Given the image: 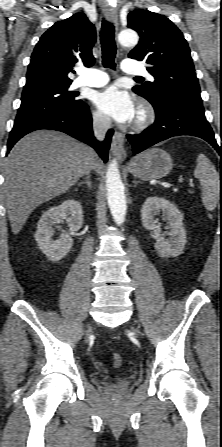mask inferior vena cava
<instances>
[{
  "instance_id": "1",
  "label": "inferior vena cava",
  "mask_w": 222,
  "mask_h": 447,
  "mask_svg": "<svg viewBox=\"0 0 222 447\" xmlns=\"http://www.w3.org/2000/svg\"><path fill=\"white\" fill-rule=\"evenodd\" d=\"M111 119L109 117H100L93 124L94 135L98 140H103L109 127Z\"/></svg>"
}]
</instances>
